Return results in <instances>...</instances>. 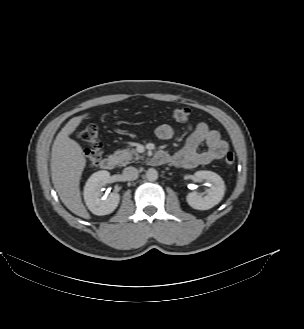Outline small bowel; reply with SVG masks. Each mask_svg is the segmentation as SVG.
Masks as SVG:
<instances>
[{
  "label": "small bowel",
  "mask_w": 304,
  "mask_h": 329,
  "mask_svg": "<svg viewBox=\"0 0 304 329\" xmlns=\"http://www.w3.org/2000/svg\"><path fill=\"white\" fill-rule=\"evenodd\" d=\"M174 133V128L168 124L160 125L156 129V135L161 140L171 139ZM201 144H206L205 151L198 150ZM228 149L227 141L221 138L217 130L210 128L205 122H199L189 127V135L182 149L173 154L163 153L174 166L193 169L221 159Z\"/></svg>",
  "instance_id": "obj_1"
}]
</instances>
